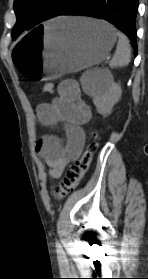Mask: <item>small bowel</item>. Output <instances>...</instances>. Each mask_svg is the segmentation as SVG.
I'll use <instances>...</instances> for the list:
<instances>
[{"label": "small bowel", "mask_w": 148, "mask_h": 279, "mask_svg": "<svg viewBox=\"0 0 148 279\" xmlns=\"http://www.w3.org/2000/svg\"><path fill=\"white\" fill-rule=\"evenodd\" d=\"M36 113L44 126L64 125V143L58 136L46 134L36 145L38 155L49 168V177L60 178L66 165L82 150L85 139L82 126L91 119V110L81 100L79 84L74 80H64L58 86L57 97L40 104Z\"/></svg>", "instance_id": "obj_1"}]
</instances>
